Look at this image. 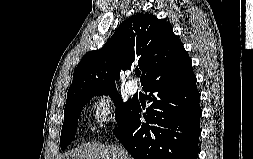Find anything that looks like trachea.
I'll use <instances>...</instances> for the list:
<instances>
[{
	"label": "trachea",
	"instance_id": "obj_1",
	"mask_svg": "<svg viewBox=\"0 0 253 159\" xmlns=\"http://www.w3.org/2000/svg\"><path fill=\"white\" fill-rule=\"evenodd\" d=\"M135 74L136 76H140V71L139 70L135 71Z\"/></svg>",
	"mask_w": 253,
	"mask_h": 159
}]
</instances>
